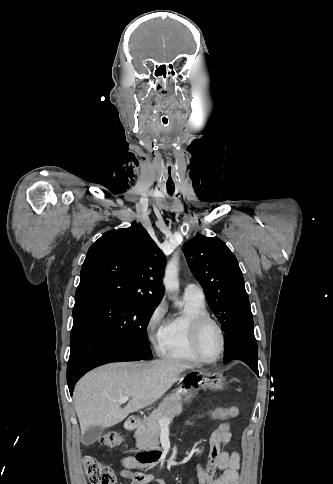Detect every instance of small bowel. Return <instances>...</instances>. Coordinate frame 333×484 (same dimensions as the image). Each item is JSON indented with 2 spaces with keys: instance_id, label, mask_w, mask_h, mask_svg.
I'll return each instance as SVG.
<instances>
[{
  "instance_id": "small-bowel-1",
  "label": "small bowel",
  "mask_w": 333,
  "mask_h": 484,
  "mask_svg": "<svg viewBox=\"0 0 333 484\" xmlns=\"http://www.w3.org/2000/svg\"><path fill=\"white\" fill-rule=\"evenodd\" d=\"M239 415L236 406L228 407V418ZM232 437L230 425L222 422L210 436L209 462L206 465L197 464L199 484H238L240 457L237 452H227L224 447ZM121 476L130 480L131 484H147L154 480L153 474L133 473L121 470ZM164 484V483H163Z\"/></svg>"
}]
</instances>
